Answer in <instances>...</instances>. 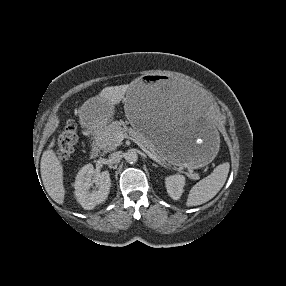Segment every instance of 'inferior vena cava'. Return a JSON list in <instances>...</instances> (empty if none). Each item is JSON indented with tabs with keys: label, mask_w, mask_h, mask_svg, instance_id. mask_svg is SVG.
<instances>
[{
	"label": "inferior vena cava",
	"mask_w": 286,
	"mask_h": 286,
	"mask_svg": "<svg viewBox=\"0 0 286 286\" xmlns=\"http://www.w3.org/2000/svg\"><path fill=\"white\" fill-rule=\"evenodd\" d=\"M121 158V153L120 152H113L109 155L108 162L110 164H115L117 163Z\"/></svg>",
	"instance_id": "1"
}]
</instances>
